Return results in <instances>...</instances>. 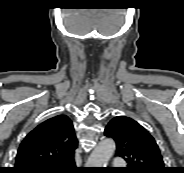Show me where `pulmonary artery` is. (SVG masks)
Returning <instances> with one entry per match:
<instances>
[{"mask_svg": "<svg viewBox=\"0 0 184 173\" xmlns=\"http://www.w3.org/2000/svg\"><path fill=\"white\" fill-rule=\"evenodd\" d=\"M114 165L115 166H122L123 165V162H122V160L120 158H116L114 160Z\"/></svg>", "mask_w": 184, "mask_h": 173, "instance_id": "e3ab8cb5", "label": "pulmonary artery"}]
</instances>
